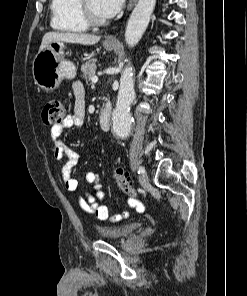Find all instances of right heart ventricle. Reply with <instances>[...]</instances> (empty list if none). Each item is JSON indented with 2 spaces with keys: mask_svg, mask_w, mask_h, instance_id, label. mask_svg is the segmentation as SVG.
<instances>
[{
  "mask_svg": "<svg viewBox=\"0 0 247 296\" xmlns=\"http://www.w3.org/2000/svg\"><path fill=\"white\" fill-rule=\"evenodd\" d=\"M79 0H51L50 24L59 32L80 33L88 29L79 15Z\"/></svg>",
  "mask_w": 247,
  "mask_h": 296,
  "instance_id": "right-heart-ventricle-1",
  "label": "right heart ventricle"
}]
</instances>
